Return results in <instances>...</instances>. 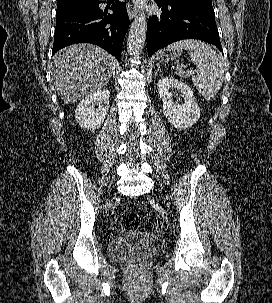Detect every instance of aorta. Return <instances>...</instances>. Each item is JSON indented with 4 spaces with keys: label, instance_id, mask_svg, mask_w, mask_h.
<instances>
[{
    "label": "aorta",
    "instance_id": "762f6f07",
    "mask_svg": "<svg viewBox=\"0 0 272 303\" xmlns=\"http://www.w3.org/2000/svg\"><path fill=\"white\" fill-rule=\"evenodd\" d=\"M147 20L144 13L136 16L131 24L128 41L127 52L132 57H137L143 50L146 41Z\"/></svg>",
    "mask_w": 272,
    "mask_h": 303
}]
</instances>
